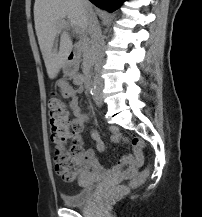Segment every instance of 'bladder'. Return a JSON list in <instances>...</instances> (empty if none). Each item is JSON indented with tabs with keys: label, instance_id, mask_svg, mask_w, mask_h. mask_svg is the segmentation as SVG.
<instances>
[{
	"label": "bladder",
	"instance_id": "bladder-1",
	"mask_svg": "<svg viewBox=\"0 0 202 217\" xmlns=\"http://www.w3.org/2000/svg\"><path fill=\"white\" fill-rule=\"evenodd\" d=\"M97 178L94 173L87 172L82 174L79 179L80 190L72 195H63L62 201L68 207H78L84 205L92 196V188Z\"/></svg>",
	"mask_w": 202,
	"mask_h": 217
}]
</instances>
